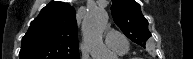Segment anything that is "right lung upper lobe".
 Segmentation results:
<instances>
[{
    "label": "right lung upper lobe",
    "instance_id": "right-lung-upper-lobe-1",
    "mask_svg": "<svg viewBox=\"0 0 193 59\" xmlns=\"http://www.w3.org/2000/svg\"><path fill=\"white\" fill-rule=\"evenodd\" d=\"M19 59H80L75 9L52 1L22 38Z\"/></svg>",
    "mask_w": 193,
    "mask_h": 59
}]
</instances>
